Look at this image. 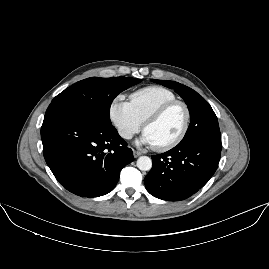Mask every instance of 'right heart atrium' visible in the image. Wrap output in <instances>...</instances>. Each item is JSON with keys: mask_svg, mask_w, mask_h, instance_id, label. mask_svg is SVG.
<instances>
[{"mask_svg": "<svg viewBox=\"0 0 269 269\" xmlns=\"http://www.w3.org/2000/svg\"><path fill=\"white\" fill-rule=\"evenodd\" d=\"M109 118L118 134L124 139H130L142 130L143 123L133 112L131 104L121 94L112 100Z\"/></svg>", "mask_w": 269, "mask_h": 269, "instance_id": "1", "label": "right heart atrium"}]
</instances>
